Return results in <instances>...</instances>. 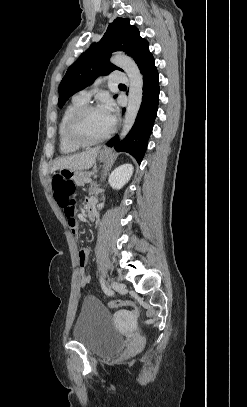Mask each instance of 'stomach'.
Segmentation results:
<instances>
[{"label":"stomach","instance_id":"0dacf381","mask_svg":"<svg viewBox=\"0 0 247 407\" xmlns=\"http://www.w3.org/2000/svg\"><path fill=\"white\" fill-rule=\"evenodd\" d=\"M107 158V151L99 152V159L105 160ZM59 173L61 178H78L80 171L77 166H60Z\"/></svg>","mask_w":247,"mask_h":407}]
</instances>
